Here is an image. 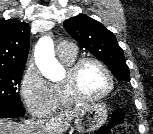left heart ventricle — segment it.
<instances>
[{
	"label": "left heart ventricle",
	"instance_id": "left-heart-ventricle-1",
	"mask_svg": "<svg viewBox=\"0 0 153 134\" xmlns=\"http://www.w3.org/2000/svg\"><path fill=\"white\" fill-rule=\"evenodd\" d=\"M78 84L83 94L94 96L103 93L108 88L109 80L99 66L89 63L81 69Z\"/></svg>",
	"mask_w": 153,
	"mask_h": 134
}]
</instances>
